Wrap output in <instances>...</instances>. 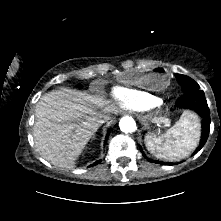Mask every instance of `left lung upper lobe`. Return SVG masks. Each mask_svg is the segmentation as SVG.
<instances>
[{
  "label": "left lung upper lobe",
  "instance_id": "5c2ea615",
  "mask_svg": "<svg viewBox=\"0 0 221 221\" xmlns=\"http://www.w3.org/2000/svg\"><path fill=\"white\" fill-rule=\"evenodd\" d=\"M176 78L182 87L183 93L197 91L200 88L197 82L186 75L176 74Z\"/></svg>",
  "mask_w": 221,
  "mask_h": 221
}]
</instances>
